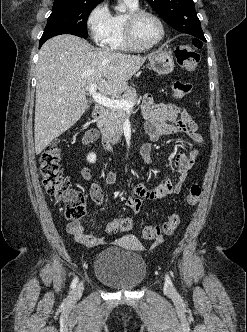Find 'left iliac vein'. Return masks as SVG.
Here are the masks:
<instances>
[{"label": "left iliac vein", "instance_id": "left-iliac-vein-1", "mask_svg": "<svg viewBox=\"0 0 247 332\" xmlns=\"http://www.w3.org/2000/svg\"><path fill=\"white\" fill-rule=\"evenodd\" d=\"M165 291L169 295H173L174 294L173 288L171 286H169L168 284H165Z\"/></svg>", "mask_w": 247, "mask_h": 332}]
</instances>
